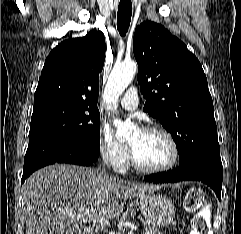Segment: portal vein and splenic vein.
Listing matches in <instances>:
<instances>
[{
  "mask_svg": "<svg viewBox=\"0 0 241 234\" xmlns=\"http://www.w3.org/2000/svg\"><path fill=\"white\" fill-rule=\"evenodd\" d=\"M77 217L80 218L81 216H77ZM97 221L100 222L101 224L104 223L106 225H110V222L106 220L104 217H99Z\"/></svg>",
  "mask_w": 241,
  "mask_h": 234,
  "instance_id": "obj_1",
  "label": "portal vein and splenic vein"
}]
</instances>
